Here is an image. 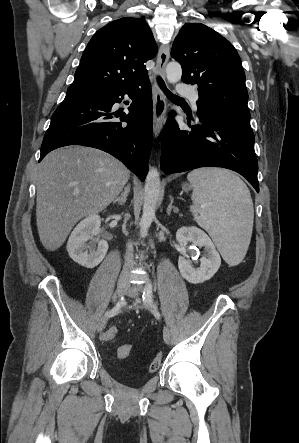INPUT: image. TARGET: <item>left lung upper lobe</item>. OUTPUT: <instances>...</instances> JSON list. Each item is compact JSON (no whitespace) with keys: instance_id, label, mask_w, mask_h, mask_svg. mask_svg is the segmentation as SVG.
I'll use <instances>...</instances> for the list:
<instances>
[{"instance_id":"left-lung-upper-lobe-1","label":"left lung upper lobe","mask_w":299,"mask_h":443,"mask_svg":"<svg viewBox=\"0 0 299 443\" xmlns=\"http://www.w3.org/2000/svg\"><path fill=\"white\" fill-rule=\"evenodd\" d=\"M171 56L182 66V81L198 85V115L250 119L241 59L223 36L204 24L188 23Z\"/></svg>"}]
</instances>
